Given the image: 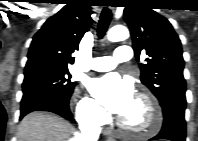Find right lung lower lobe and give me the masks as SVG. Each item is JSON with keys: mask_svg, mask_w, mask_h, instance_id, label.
Returning <instances> with one entry per match:
<instances>
[{"mask_svg": "<svg viewBox=\"0 0 198 141\" xmlns=\"http://www.w3.org/2000/svg\"><path fill=\"white\" fill-rule=\"evenodd\" d=\"M68 104L69 99L48 92L32 91L23 93L20 119L33 111H49L66 119H71L72 114Z\"/></svg>", "mask_w": 198, "mask_h": 141, "instance_id": "obj_1", "label": "right lung lower lobe"}]
</instances>
